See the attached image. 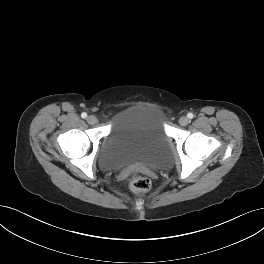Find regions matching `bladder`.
I'll use <instances>...</instances> for the list:
<instances>
[{
	"instance_id": "obj_1",
	"label": "bladder",
	"mask_w": 264,
	"mask_h": 264,
	"mask_svg": "<svg viewBox=\"0 0 264 264\" xmlns=\"http://www.w3.org/2000/svg\"><path fill=\"white\" fill-rule=\"evenodd\" d=\"M171 158V142L163 112L151 106L136 107L112 126L97 153L104 171L133 165L159 168Z\"/></svg>"
}]
</instances>
